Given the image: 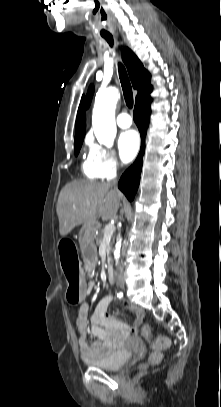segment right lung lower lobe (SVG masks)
I'll return each instance as SVG.
<instances>
[{
	"label": "right lung lower lobe",
	"mask_w": 221,
	"mask_h": 407,
	"mask_svg": "<svg viewBox=\"0 0 221 407\" xmlns=\"http://www.w3.org/2000/svg\"><path fill=\"white\" fill-rule=\"evenodd\" d=\"M151 101L152 99L149 96L141 103L135 105L134 121L137 124L138 129L140 131L141 149L136 161L124 172L118 184L121 191L124 192V194L130 201L133 200L140 182V173L142 169V156L145 151V137L149 125Z\"/></svg>",
	"instance_id": "right-lung-lower-lobe-1"
}]
</instances>
